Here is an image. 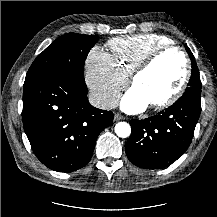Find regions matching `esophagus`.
Wrapping results in <instances>:
<instances>
[{
  "label": "esophagus",
  "mask_w": 217,
  "mask_h": 217,
  "mask_svg": "<svg viewBox=\"0 0 217 217\" xmlns=\"http://www.w3.org/2000/svg\"><path fill=\"white\" fill-rule=\"evenodd\" d=\"M123 119H125V117L122 116L121 114H119V113L114 114V121H119V120H123Z\"/></svg>",
  "instance_id": "1"
}]
</instances>
